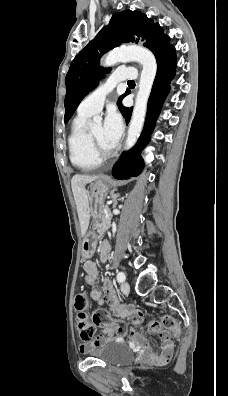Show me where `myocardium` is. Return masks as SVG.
<instances>
[{"instance_id": "obj_1", "label": "myocardium", "mask_w": 228, "mask_h": 396, "mask_svg": "<svg viewBox=\"0 0 228 396\" xmlns=\"http://www.w3.org/2000/svg\"><path fill=\"white\" fill-rule=\"evenodd\" d=\"M89 139L91 143L92 150L95 156L100 160H106L113 157L116 154V149L113 148L112 150H105L101 147L99 142L96 140L95 136L93 135L92 131L89 132Z\"/></svg>"}]
</instances>
